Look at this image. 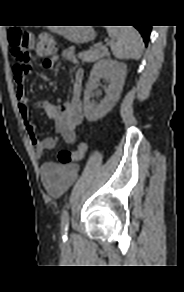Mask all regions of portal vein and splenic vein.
<instances>
[{
  "label": "portal vein and splenic vein",
  "instance_id": "18ae733b",
  "mask_svg": "<svg viewBox=\"0 0 184 292\" xmlns=\"http://www.w3.org/2000/svg\"><path fill=\"white\" fill-rule=\"evenodd\" d=\"M101 49H103V50H106V48H105V47H101Z\"/></svg>",
  "mask_w": 184,
  "mask_h": 292
}]
</instances>
